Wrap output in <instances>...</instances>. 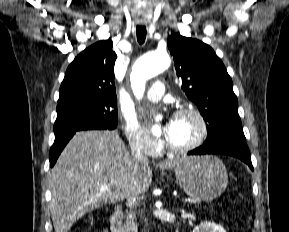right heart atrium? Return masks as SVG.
Here are the masks:
<instances>
[{
  "instance_id": "1",
  "label": "right heart atrium",
  "mask_w": 289,
  "mask_h": 232,
  "mask_svg": "<svg viewBox=\"0 0 289 232\" xmlns=\"http://www.w3.org/2000/svg\"><path fill=\"white\" fill-rule=\"evenodd\" d=\"M124 131L128 143L134 151L153 155L160 149V142L151 137L135 120L127 118Z\"/></svg>"
}]
</instances>
